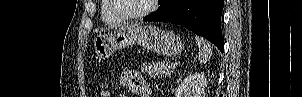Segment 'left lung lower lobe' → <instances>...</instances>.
I'll return each instance as SVG.
<instances>
[{"label": "left lung lower lobe", "mask_w": 302, "mask_h": 97, "mask_svg": "<svg viewBox=\"0 0 302 97\" xmlns=\"http://www.w3.org/2000/svg\"><path fill=\"white\" fill-rule=\"evenodd\" d=\"M223 5V0H162L160 7L143 20L179 24L206 38L223 52Z\"/></svg>", "instance_id": "0a47b994"}]
</instances>
